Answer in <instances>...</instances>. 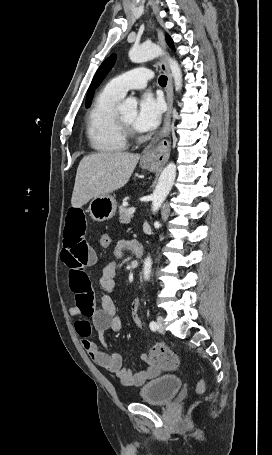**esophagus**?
<instances>
[{"label": "esophagus", "mask_w": 272, "mask_h": 455, "mask_svg": "<svg viewBox=\"0 0 272 455\" xmlns=\"http://www.w3.org/2000/svg\"><path fill=\"white\" fill-rule=\"evenodd\" d=\"M158 38L159 43L166 48V43L164 39V35L161 30H158ZM160 68L166 74L168 78L167 87H166V98L168 109L165 115L164 124L159 132L158 136L154 138L149 145L144 149L142 153V159L145 161L152 162L155 165L161 166L164 165L169 156H170V149L171 145L168 140L169 132H170V119L172 113V105H173V84H172V76L169 70V67L164 59L160 61Z\"/></svg>", "instance_id": "34e87169"}]
</instances>
